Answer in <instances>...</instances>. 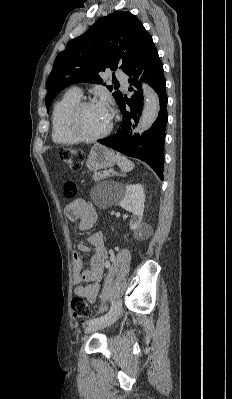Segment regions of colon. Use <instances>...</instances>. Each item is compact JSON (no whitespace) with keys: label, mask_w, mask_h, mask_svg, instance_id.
<instances>
[{"label":"colon","mask_w":232,"mask_h":399,"mask_svg":"<svg viewBox=\"0 0 232 399\" xmlns=\"http://www.w3.org/2000/svg\"><path fill=\"white\" fill-rule=\"evenodd\" d=\"M86 162V153L79 152V147L68 148L65 150L64 163L69 168H80V163ZM76 186H66L61 190L62 194H72L76 191ZM71 301H81V303H72L71 306V322L75 323L76 320H91L92 314H97V309H92L91 304H86L85 296H71Z\"/></svg>","instance_id":"5ec220e1"}]
</instances>
